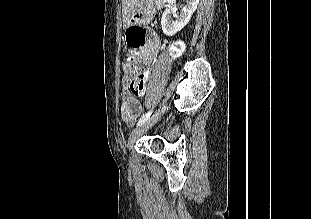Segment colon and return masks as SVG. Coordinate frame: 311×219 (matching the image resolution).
Segmentation results:
<instances>
[{"instance_id": "colon-1", "label": "colon", "mask_w": 311, "mask_h": 219, "mask_svg": "<svg viewBox=\"0 0 311 219\" xmlns=\"http://www.w3.org/2000/svg\"><path fill=\"white\" fill-rule=\"evenodd\" d=\"M145 30L140 27H132L131 34L128 38V43L138 45L144 40ZM182 51V44L175 43L172 47L174 55L180 54ZM122 68L126 74H135L140 71L141 63L135 56H127L122 61ZM147 78L143 74H138L131 82L130 89L133 94L140 95L145 91Z\"/></svg>"}]
</instances>
